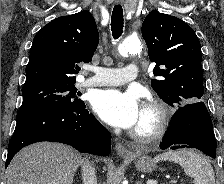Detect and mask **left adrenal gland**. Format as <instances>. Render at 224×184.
Instances as JSON below:
<instances>
[{"instance_id": "1", "label": "left adrenal gland", "mask_w": 224, "mask_h": 184, "mask_svg": "<svg viewBox=\"0 0 224 184\" xmlns=\"http://www.w3.org/2000/svg\"><path fill=\"white\" fill-rule=\"evenodd\" d=\"M137 184H142L141 181H138Z\"/></svg>"}]
</instances>
